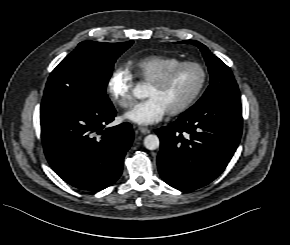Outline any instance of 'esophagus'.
I'll use <instances>...</instances> for the list:
<instances>
[{
  "instance_id": "1",
  "label": "esophagus",
  "mask_w": 290,
  "mask_h": 245,
  "mask_svg": "<svg viewBox=\"0 0 290 245\" xmlns=\"http://www.w3.org/2000/svg\"><path fill=\"white\" fill-rule=\"evenodd\" d=\"M138 130L142 133V134H149L150 133V129L146 128V127H138Z\"/></svg>"
}]
</instances>
